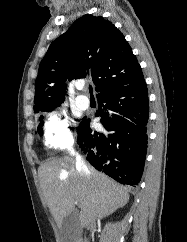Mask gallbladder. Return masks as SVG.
Listing matches in <instances>:
<instances>
[{
	"label": "gallbladder",
	"instance_id": "obj_1",
	"mask_svg": "<svg viewBox=\"0 0 187 242\" xmlns=\"http://www.w3.org/2000/svg\"><path fill=\"white\" fill-rule=\"evenodd\" d=\"M78 228V214L71 213L65 217L61 226V242H75Z\"/></svg>",
	"mask_w": 187,
	"mask_h": 242
}]
</instances>
